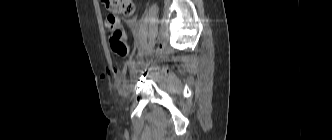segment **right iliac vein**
Listing matches in <instances>:
<instances>
[{"label":"right iliac vein","instance_id":"63e3f726","mask_svg":"<svg viewBox=\"0 0 332 140\" xmlns=\"http://www.w3.org/2000/svg\"><path fill=\"white\" fill-rule=\"evenodd\" d=\"M138 68H139V64H136L131 68V77H135V75L137 74Z\"/></svg>","mask_w":332,"mask_h":140}]
</instances>
